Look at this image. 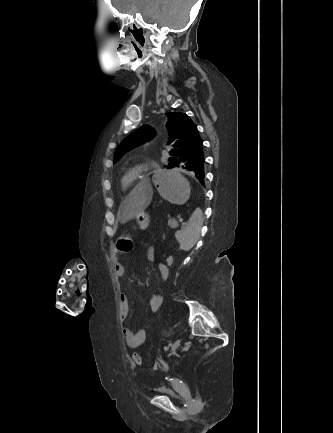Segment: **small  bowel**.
Instances as JSON below:
<instances>
[{
	"instance_id": "c3829d8e",
	"label": "small bowel",
	"mask_w": 333,
	"mask_h": 433,
	"mask_svg": "<svg viewBox=\"0 0 333 433\" xmlns=\"http://www.w3.org/2000/svg\"><path fill=\"white\" fill-rule=\"evenodd\" d=\"M123 251L122 248L116 247L112 254L113 260V268L118 278H121L124 275V265L122 264L119 254ZM147 259L151 262L157 264L159 273L163 280H167L169 277V268L166 267L165 262H159L157 259L156 249L150 247L147 250ZM157 297H159L160 301L163 303L165 296L162 292L155 293ZM154 296V294H153ZM152 296V297H153ZM129 300L125 294H121L119 298V316L122 321V334L125 340V343L130 348H137L141 344H143L147 338V332L145 329H140L138 331H134L127 323L126 320L129 316Z\"/></svg>"
}]
</instances>
